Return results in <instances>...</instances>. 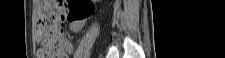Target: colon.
<instances>
[{
  "label": "colon",
  "mask_w": 225,
  "mask_h": 58,
  "mask_svg": "<svg viewBox=\"0 0 225 58\" xmlns=\"http://www.w3.org/2000/svg\"><path fill=\"white\" fill-rule=\"evenodd\" d=\"M94 5L89 0L37 1V34L36 39L42 45L40 58H64L65 51L61 44L63 37L62 26L67 18L70 21H80L87 18L93 11Z\"/></svg>",
  "instance_id": "colon-1"
}]
</instances>
